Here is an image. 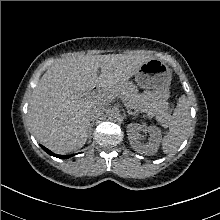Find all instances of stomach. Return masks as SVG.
Returning <instances> with one entry per match:
<instances>
[{"label": "stomach", "mask_w": 220, "mask_h": 220, "mask_svg": "<svg viewBox=\"0 0 220 220\" xmlns=\"http://www.w3.org/2000/svg\"><path fill=\"white\" fill-rule=\"evenodd\" d=\"M171 71L169 67L160 59H149L143 63L135 73L137 84L146 89L152 90L144 94L139 104L133 108L141 111H152L151 103L162 102L170 97Z\"/></svg>", "instance_id": "0dacf381"}]
</instances>
